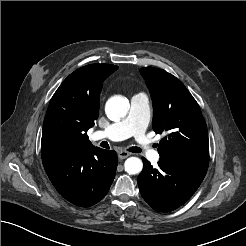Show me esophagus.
<instances>
[{"mask_svg":"<svg viewBox=\"0 0 246 246\" xmlns=\"http://www.w3.org/2000/svg\"><path fill=\"white\" fill-rule=\"evenodd\" d=\"M131 155V153L126 152V151H119L118 152V158L119 159H125L127 157H129Z\"/></svg>","mask_w":246,"mask_h":246,"instance_id":"obj_1","label":"esophagus"}]
</instances>
